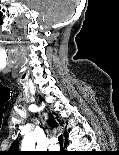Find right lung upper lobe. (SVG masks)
I'll return each instance as SVG.
<instances>
[{
  "label": "right lung upper lobe",
  "instance_id": "cb5924a9",
  "mask_svg": "<svg viewBox=\"0 0 119 155\" xmlns=\"http://www.w3.org/2000/svg\"><path fill=\"white\" fill-rule=\"evenodd\" d=\"M49 125L51 127H57L58 123L54 120L53 115H50ZM67 133L65 132V137ZM18 142L15 140L12 145L10 146L9 150L7 151V155H22L20 151H17Z\"/></svg>",
  "mask_w": 119,
  "mask_h": 155
}]
</instances>
